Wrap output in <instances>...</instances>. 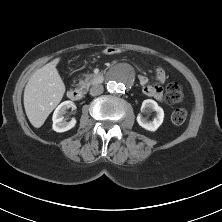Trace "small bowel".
Masks as SVG:
<instances>
[{
	"instance_id": "small-bowel-1",
	"label": "small bowel",
	"mask_w": 222,
	"mask_h": 222,
	"mask_svg": "<svg viewBox=\"0 0 222 222\" xmlns=\"http://www.w3.org/2000/svg\"><path fill=\"white\" fill-rule=\"evenodd\" d=\"M155 76L157 83L151 84L146 76H139V82L142 85L143 92L145 95L149 97L156 98L158 100L162 99V88L160 84H162L166 79L165 70L162 67H156Z\"/></svg>"
}]
</instances>
